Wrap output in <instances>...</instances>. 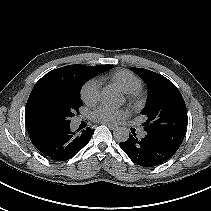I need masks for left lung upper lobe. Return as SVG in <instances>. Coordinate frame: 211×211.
Masks as SVG:
<instances>
[{
  "label": "left lung upper lobe",
  "mask_w": 211,
  "mask_h": 211,
  "mask_svg": "<svg viewBox=\"0 0 211 211\" xmlns=\"http://www.w3.org/2000/svg\"><path fill=\"white\" fill-rule=\"evenodd\" d=\"M148 86L146 106L141 112L148 117L143 124L147 135L173 151L180 147L188 124L187 109L177 87L164 76L143 68H130Z\"/></svg>",
  "instance_id": "obj_1"
}]
</instances>
